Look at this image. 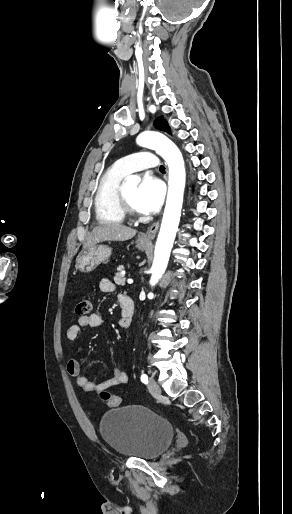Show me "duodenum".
<instances>
[{"mask_svg":"<svg viewBox=\"0 0 292 514\" xmlns=\"http://www.w3.org/2000/svg\"><path fill=\"white\" fill-rule=\"evenodd\" d=\"M118 300H119L120 307L124 310V312L127 315V320L130 319L132 322V317H133L134 311H135V305H134L133 298L128 295H120ZM130 327H131V323L128 328L126 325L124 326V328L126 330L130 329Z\"/></svg>","mask_w":292,"mask_h":514,"instance_id":"obj_1","label":"duodenum"}]
</instances>
